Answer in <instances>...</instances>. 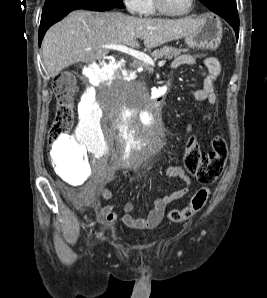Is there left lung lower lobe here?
<instances>
[{
  "label": "left lung lower lobe",
  "mask_w": 267,
  "mask_h": 298,
  "mask_svg": "<svg viewBox=\"0 0 267 298\" xmlns=\"http://www.w3.org/2000/svg\"><path fill=\"white\" fill-rule=\"evenodd\" d=\"M222 18H224L235 30L236 37L239 36V16L237 11L230 10L228 14H218Z\"/></svg>",
  "instance_id": "left-lung-lower-lobe-1"
}]
</instances>
